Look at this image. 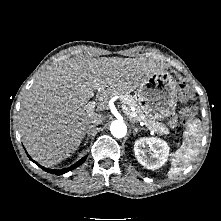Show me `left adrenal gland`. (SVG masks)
<instances>
[{"label":"left adrenal gland","instance_id":"a2214340","mask_svg":"<svg viewBox=\"0 0 221 221\" xmlns=\"http://www.w3.org/2000/svg\"><path fill=\"white\" fill-rule=\"evenodd\" d=\"M132 127H133V134L134 136L137 134V132L139 131V127L135 126L134 122H132Z\"/></svg>","mask_w":221,"mask_h":221}]
</instances>
